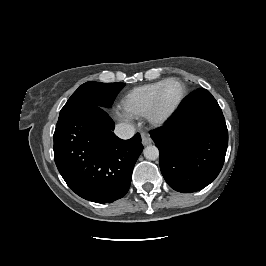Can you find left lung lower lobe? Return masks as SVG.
Wrapping results in <instances>:
<instances>
[{
  "label": "left lung lower lobe",
  "instance_id": "0a47b994",
  "mask_svg": "<svg viewBox=\"0 0 266 266\" xmlns=\"http://www.w3.org/2000/svg\"><path fill=\"white\" fill-rule=\"evenodd\" d=\"M151 137L160 152L162 175L176 191L203 189L223 167L228 130L220 106L206 89L189 95Z\"/></svg>",
  "mask_w": 266,
  "mask_h": 266
}]
</instances>
